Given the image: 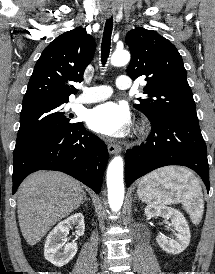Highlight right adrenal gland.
Returning a JSON list of instances; mask_svg holds the SVG:
<instances>
[{
	"label": "right adrenal gland",
	"instance_id": "obj_1",
	"mask_svg": "<svg viewBox=\"0 0 215 274\" xmlns=\"http://www.w3.org/2000/svg\"><path fill=\"white\" fill-rule=\"evenodd\" d=\"M88 200H90V199L87 198L86 193H85V194H84V200H83L82 204H84V202H85V201H88Z\"/></svg>",
	"mask_w": 215,
	"mask_h": 274
}]
</instances>
